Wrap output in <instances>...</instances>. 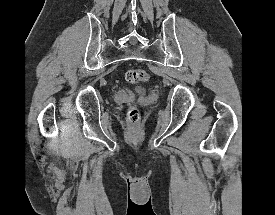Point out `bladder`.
<instances>
[{"instance_id": "obj_1", "label": "bladder", "mask_w": 275, "mask_h": 215, "mask_svg": "<svg viewBox=\"0 0 275 215\" xmlns=\"http://www.w3.org/2000/svg\"><path fill=\"white\" fill-rule=\"evenodd\" d=\"M138 92L139 93H144V92H146V90L145 89H138Z\"/></svg>"}]
</instances>
